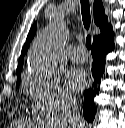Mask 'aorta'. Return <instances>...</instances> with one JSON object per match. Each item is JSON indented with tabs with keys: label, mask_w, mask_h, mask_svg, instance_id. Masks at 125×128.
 <instances>
[{
	"label": "aorta",
	"mask_w": 125,
	"mask_h": 128,
	"mask_svg": "<svg viewBox=\"0 0 125 128\" xmlns=\"http://www.w3.org/2000/svg\"><path fill=\"white\" fill-rule=\"evenodd\" d=\"M66 38L65 23L62 20L54 21L33 44L28 58L31 65L40 72L54 71Z\"/></svg>",
	"instance_id": "obj_1"
}]
</instances>
